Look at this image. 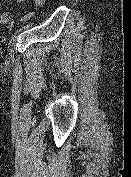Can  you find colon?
Here are the masks:
<instances>
[{
	"mask_svg": "<svg viewBox=\"0 0 131 177\" xmlns=\"http://www.w3.org/2000/svg\"><path fill=\"white\" fill-rule=\"evenodd\" d=\"M38 2H39V4H43L45 2V0H39Z\"/></svg>",
	"mask_w": 131,
	"mask_h": 177,
	"instance_id": "colon-1",
	"label": "colon"
}]
</instances>
